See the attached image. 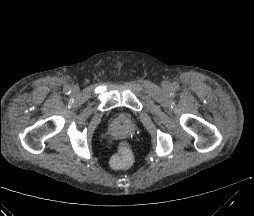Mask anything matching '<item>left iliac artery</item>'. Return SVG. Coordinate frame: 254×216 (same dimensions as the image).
Masks as SVG:
<instances>
[{"instance_id": "1", "label": "left iliac artery", "mask_w": 254, "mask_h": 216, "mask_svg": "<svg viewBox=\"0 0 254 216\" xmlns=\"http://www.w3.org/2000/svg\"><path fill=\"white\" fill-rule=\"evenodd\" d=\"M172 88H173L174 90H178V89H179V85H178L177 83H174L173 86H172Z\"/></svg>"}]
</instances>
